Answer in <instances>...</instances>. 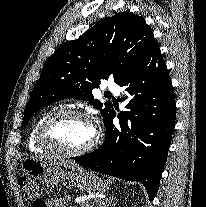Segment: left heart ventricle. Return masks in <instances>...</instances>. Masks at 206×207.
Returning <instances> with one entry per match:
<instances>
[{"label":"left heart ventricle","instance_id":"left-heart-ventricle-1","mask_svg":"<svg viewBox=\"0 0 206 207\" xmlns=\"http://www.w3.org/2000/svg\"><path fill=\"white\" fill-rule=\"evenodd\" d=\"M48 135L56 145L73 151L87 146L94 136V130L87 122L70 118L54 124Z\"/></svg>","mask_w":206,"mask_h":207}]
</instances>
